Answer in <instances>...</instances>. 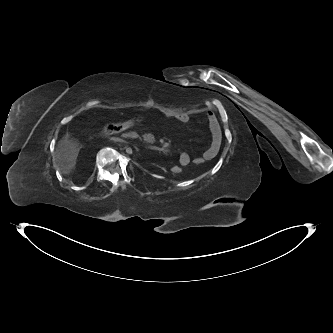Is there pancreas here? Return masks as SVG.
Instances as JSON below:
<instances>
[{
    "mask_svg": "<svg viewBox=\"0 0 333 333\" xmlns=\"http://www.w3.org/2000/svg\"><path fill=\"white\" fill-rule=\"evenodd\" d=\"M127 136H129L131 138H133V137H139V135L137 133H135V132L128 133ZM139 138L145 141V140H147V135H143V138H141V137H139Z\"/></svg>",
    "mask_w": 333,
    "mask_h": 333,
    "instance_id": "cf45deb5",
    "label": "pancreas"
}]
</instances>
